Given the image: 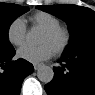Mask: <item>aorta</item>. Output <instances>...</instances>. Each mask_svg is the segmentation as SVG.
<instances>
[{
    "label": "aorta",
    "mask_w": 95,
    "mask_h": 95,
    "mask_svg": "<svg viewBox=\"0 0 95 95\" xmlns=\"http://www.w3.org/2000/svg\"><path fill=\"white\" fill-rule=\"evenodd\" d=\"M37 37L35 31L31 30L27 33V39L29 41L35 40ZM37 77L43 83H49L53 80L54 71L50 66L41 65L37 70Z\"/></svg>",
    "instance_id": "obj_1"
}]
</instances>
